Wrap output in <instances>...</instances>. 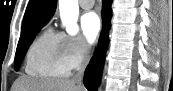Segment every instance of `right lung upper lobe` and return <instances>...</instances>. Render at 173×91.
<instances>
[{
	"instance_id": "cb5924a9",
	"label": "right lung upper lobe",
	"mask_w": 173,
	"mask_h": 91,
	"mask_svg": "<svg viewBox=\"0 0 173 91\" xmlns=\"http://www.w3.org/2000/svg\"><path fill=\"white\" fill-rule=\"evenodd\" d=\"M57 0H30L24 15L22 31L45 25L56 10Z\"/></svg>"
}]
</instances>
